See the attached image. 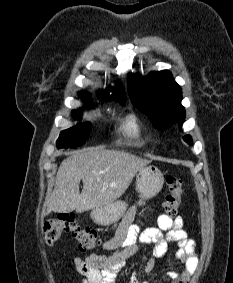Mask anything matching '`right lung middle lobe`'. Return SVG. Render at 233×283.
<instances>
[{
	"mask_svg": "<svg viewBox=\"0 0 233 283\" xmlns=\"http://www.w3.org/2000/svg\"><path fill=\"white\" fill-rule=\"evenodd\" d=\"M73 116L79 118L78 111L72 113ZM89 123L79 124L68 130L61 132L59 139L57 140L58 148H77L81 146L88 137Z\"/></svg>",
	"mask_w": 233,
	"mask_h": 283,
	"instance_id": "obj_1",
	"label": "right lung middle lobe"
}]
</instances>
